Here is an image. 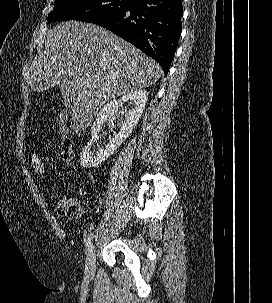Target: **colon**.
I'll return each instance as SVG.
<instances>
[{"mask_svg":"<svg viewBox=\"0 0 272 303\" xmlns=\"http://www.w3.org/2000/svg\"><path fill=\"white\" fill-rule=\"evenodd\" d=\"M67 117L63 115L58 120V126L61 133L59 143L60 158L66 164H70L74 157L73 142L67 128ZM30 164L34 175L43 177L47 173V163L45 158L38 152H33L30 158ZM85 209L84 201L80 198L64 195L59 198L57 211L59 214L71 219H78L82 216Z\"/></svg>","mask_w":272,"mask_h":303,"instance_id":"obj_1","label":"colon"}]
</instances>
